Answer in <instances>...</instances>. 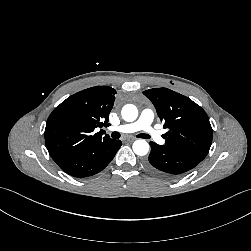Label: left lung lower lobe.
<instances>
[{"mask_svg":"<svg viewBox=\"0 0 251 251\" xmlns=\"http://www.w3.org/2000/svg\"><path fill=\"white\" fill-rule=\"evenodd\" d=\"M151 153L146 168L165 180L175 179L194 168L202 160L183 151L150 142Z\"/></svg>","mask_w":251,"mask_h":251,"instance_id":"0a47b994","label":"left lung lower lobe"}]
</instances>
